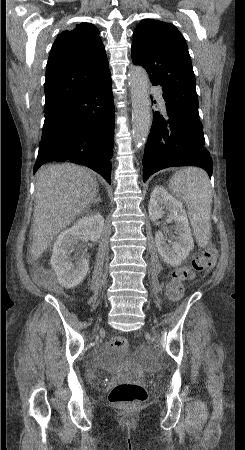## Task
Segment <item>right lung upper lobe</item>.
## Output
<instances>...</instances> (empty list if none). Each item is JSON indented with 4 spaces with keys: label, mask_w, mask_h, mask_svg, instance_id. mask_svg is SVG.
Instances as JSON below:
<instances>
[{
    "label": "right lung upper lobe",
    "mask_w": 245,
    "mask_h": 450,
    "mask_svg": "<svg viewBox=\"0 0 245 450\" xmlns=\"http://www.w3.org/2000/svg\"><path fill=\"white\" fill-rule=\"evenodd\" d=\"M99 30L90 23L77 24L55 40L46 66L44 111L58 106L109 73Z\"/></svg>",
    "instance_id": "obj_1"
}]
</instances>
